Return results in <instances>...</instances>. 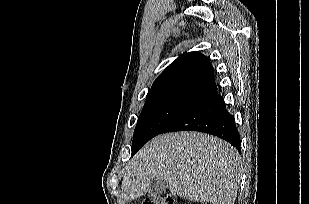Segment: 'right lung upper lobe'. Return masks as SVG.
<instances>
[{
	"instance_id": "cb5924a9",
	"label": "right lung upper lobe",
	"mask_w": 309,
	"mask_h": 204,
	"mask_svg": "<svg viewBox=\"0 0 309 204\" xmlns=\"http://www.w3.org/2000/svg\"><path fill=\"white\" fill-rule=\"evenodd\" d=\"M218 95L209 59L198 53L180 55L154 81L147 103L182 101L199 104Z\"/></svg>"
}]
</instances>
